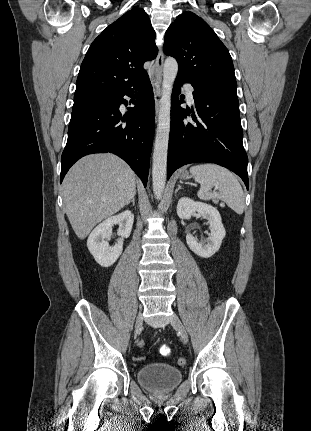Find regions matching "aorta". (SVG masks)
<instances>
[{
	"label": "aorta",
	"mask_w": 311,
	"mask_h": 431,
	"mask_svg": "<svg viewBox=\"0 0 311 431\" xmlns=\"http://www.w3.org/2000/svg\"><path fill=\"white\" fill-rule=\"evenodd\" d=\"M178 64L174 58H167L163 68L162 100L154 142L152 160V188L156 200H161L166 184L168 144L171 124V94L177 76Z\"/></svg>",
	"instance_id": "obj_1"
}]
</instances>
